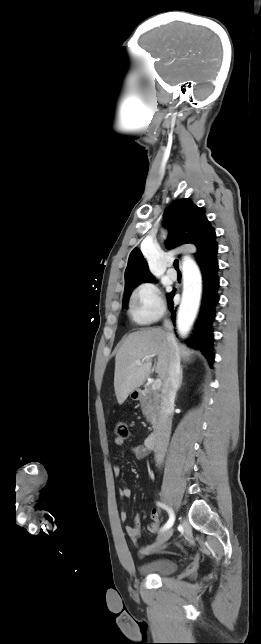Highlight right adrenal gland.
Listing matches in <instances>:
<instances>
[{
  "mask_svg": "<svg viewBox=\"0 0 261 644\" xmlns=\"http://www.w3.org/2000/svg\"><path fill=\"white\" fill-rule=\"evenodd\" d=\"M182 380H183V371H182V369H181L180 379H179V383H178L177 391L181 388Z\"/></svg>",
  "mask_w": 261,
  "mask_h": 644,
  "instance_id": "1",
  "label": "right adrenal gland"
}]
</instances>
